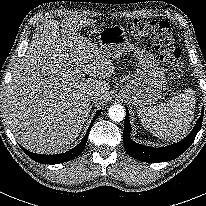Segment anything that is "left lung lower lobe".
<instances>
[{
	"instance_id": "0a47b994",
	"label": "left lung lower lobe",
	"mask_w": 206,
	"mask_h": 206,
	"mask_svg": "<svg viewBox=\"0 0 206 206\" xmlns=\"http://www.w3.org/2000/svg\"><path fill=\"white\" fill-rule=\"evenodd\" d=\"M203 113L204 107L202 108L201 116L196 122L195 127L186 138L170 146L154 148L138 144L130 138L131 125L129 121V112L126 108V117L123 132L124 147L131 157L143 162L157 163L173 160L180 156L183 152H185L194 141L198 131L201 128Z\"/></svg>"
}]
</instances>
